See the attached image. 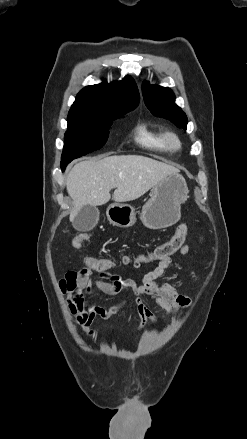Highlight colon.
<instances>
[{
	"instance_id": "1",
	"label": "colon",
	"mask_w": 247,
	"mask_h": 439,
	"mask_svg": "<svg viewBox=\"0 0 247 439\" xmlns=\"http://www.w3.org/2000/svg\"><path fill=\"white\" fill-rule=\"evenodd\" d=\"M186 235L187 225L185 223H182L176 228L174 234L167 242L157 246L148 255H140L137 258H134V263L141 264L151 261H162L170 258V256H172L179 249H181L184 244ZM89 238L90 235L88 233H79L73 238L72 246L75 249H80L85 244V242L89 240ZM83 259L86 267L96 273L107 271L115 267L117 264L115 260L106 257L84 256ZM123 262L129 263L130 259L125 258Z\"/></svg>"
}]
</instances>
